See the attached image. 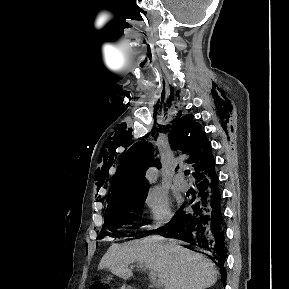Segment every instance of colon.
Instances as JSON below:
<instances>
[{
    "instance_id": "1",
    "label": "colon",
    "mask_w": 289,
    "mask_h": 289,
    "mask_svg": "<svg viewBox=\"0 0 289 289\" xmlns=\"http://www.w3.org/2000/svg\"><path fill=\"white\" fill-rule=\"evenodd\" d=\"M89 289H108V287L104 282L97 281L92 283Z\"/></svg>"
}]
</instances>
